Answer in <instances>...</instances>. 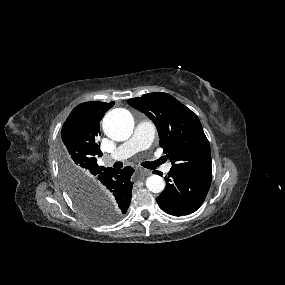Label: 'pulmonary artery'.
<instances>
[{
    "label": "pulmonary artery",
    "instance_id": "1",
    "mask_svg": "<svg viewBox=\"0 0 285 285\" xmlns=\"http://www.w3.org/2000/svg\"><path fill=\"white\" fill-rule=\"evenodd\" d=\"M155 128L148 120H141L137 123L133 135L129 140L119 145L108 157L107 160L126 159L135 153L149 148L154 140ZM171 164L166 163L164 172H169Z\"/></svg>",
    "mask_w": 285,
    "mask_h": 285
}]
</instances>
